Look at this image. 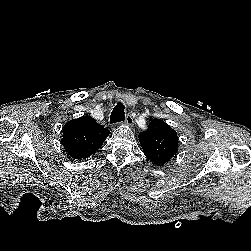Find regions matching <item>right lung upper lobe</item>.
<instances>
[{
  "instance_id": "1",
  "label": "right lung upper lobe",
  "mask_w": 251,
  "mask_h": 251,
  "mask_svg": "<svg viewBox=\"0 0 251 251\" xmlns=\"http://www.w3.org/2000/svg\"><path fill=\"white\" fill-rule=\"evenodd\" d=\"M109 134V130L85 115L65 124L63 147L73 160L86 159L102 146Z\"/></svg>"
}]
</instances>
